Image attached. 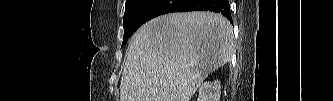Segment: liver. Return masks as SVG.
<instances>
[{"instance_id":"6515ba94","label":"liver","mask_w":333,"mask_h":101,"mask_svg":"<svg viewBox=\"0 0 333 101\" xmlns=\"http://www.w3.org/2000/svg\"><path fill=\"white\" fill-rule=\"evenodd\" d=\"M233 52V27L221 14L170 13L142 25L126 54L120 101H190Z\"/></svg>"}]
</instances>
